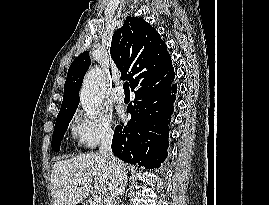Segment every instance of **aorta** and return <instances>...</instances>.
Here are the masks:
<instances>
[{"instance_id":"1","label":"aorta","mask_w":269,"mask_h":205,"mask_svg":"<svg viewBox=\"0 0 269 205\" xmlns=\"http://www.w3.org/2000/svg\"><path fill=\"white\" fill-rule=\"evenodd\" d=\"M105 89L103 72L99 68L91 69L80 91V104L90 119L96 118L100 113Z\"/></svg>"}]
</instances>
